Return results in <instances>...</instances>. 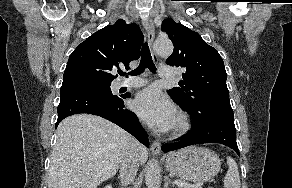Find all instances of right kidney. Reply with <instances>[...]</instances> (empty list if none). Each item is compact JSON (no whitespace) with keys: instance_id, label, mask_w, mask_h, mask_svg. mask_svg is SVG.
<instances>
[{"instance_id":"right-kidney-1","label":"right kidney","mask_w":292,"mask_h":188,"mask_svg":"<svg viewBox=\"0 0 292 188\" xmlns=\"http://www.w3.org/2000/svg\"><path fill=\"white\" fill-rule=\"evenodd\" d=\"M105 188H112L111 185L106 186Z\"/></svg>"}]
</instances>
